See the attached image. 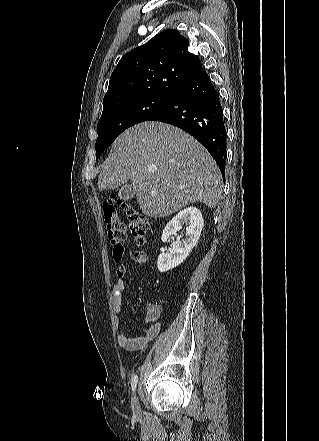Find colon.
I'll use <instances>...</instances> for the list:
<instances>
[{
    "instance_id": "obj_1",
    "label": "colon",
    "mask_w": 319,
    "mask_h": 441,
    "mask_svg": "<svg viewBox=\"0 0 319 441\" xmlns=\"http://www.w3.org/2000/svg\"><path fill=\"white\" fill-rule=\"evenodd\" d=\"M117 206H121L126 212L129 220V230L137 244H143L149 231L147 218L129 204L112 196L103 205V215L107 229L108 239L113 247L115 261H120L124 252V244L127 239L126 229L120 221Z\"/></svg>"
}]
</instances>
